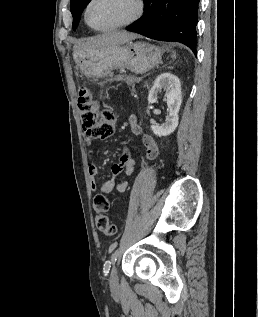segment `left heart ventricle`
<instances>
[{
  "mask_svg": "<svg viewBox=\"0 0 258 317\" xmlns=\"http://www.w3.org/2000/svg\"><path fill=\"white\" fill-rule=\"evenodd\" d=\"M135 4L127 0H95L88 11L89 21L96 27H110L129 19Z\"/></svg>",
  "mask_w": 258,
  "mask_h": 317,
  "instance_id": "1",
  "label": "left heart ventricle"
}]
</instances>
